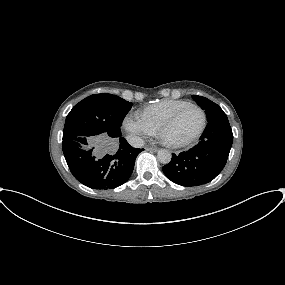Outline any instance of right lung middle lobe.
Returning <instances> with one entry per match:
<instances>
[{"label": "right lung middle lobe", "instance_id": "obj_1", "mask_svg": "<svg viewBox=\"0 0 285 285\" xmlns=\"http://www.w3.org/2000/svg\"><path fill=\"white\" fill-rule=\"evenodd\" d=\"M132 103L112 94H94L76 104L66 117L63 141L78 137L103 140L121 136L120 126Z\"/></svg>", "mask_w": 285, "mask_h": 285}]
</instances>
